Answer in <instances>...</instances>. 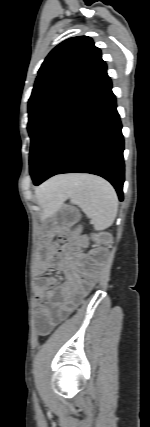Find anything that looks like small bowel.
Listing matches in <instances>:
<instances>
[{
	"instance_id": "obj_1",
	"label": "small bowel",
	"mask_w": 150,
	"mask_h": 427,
	"mask_svg": "<svg viewBox=\"0 0 150 427\" xmlns=\"http://www.w3.org/2000/svg\"><path fill=\"white\" fill-rule=\"evenodd\" d=\"M66 259L60 254L47 255L39 259L37 262V272L39 274L44 273L48 268L56 267L62 268L66 266ZM54 284V279L48 276H41L39 278V284L37 288V300L42 303L47 301V305H44L39 313L38 318V329L40 334H48L53 326L69 314L78 302V298L72 299L68 302H64L58 306L56 311H53L52 299L54 297V291L51 286ZM87 288L82 287L79 289V295L84 294Z\"/></svg>"
}]
</instances>
